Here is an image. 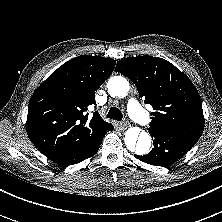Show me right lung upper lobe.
Returning <instances> with one entry per match:
<instances>
[{
  "label": "right lung upper lobe",
  "mask_w": 222,
  "mask_h": 222,
  "mask_svg": "<svg viewBox=\"0 0 222 222\" xmlns=\"http://www.w3.org/2000/svg\"><path fill=\"white\" fill-rule=\"evenodd\" d=\"M116 61L82 55L55 70L32 95L26 122L31 142L53 162L76 157L112 125L98 112L88 118L87 106L96 104L95 91L111 75Z\"/></svg>",
  "instance_id": "obj_1"
}]
</instances>
